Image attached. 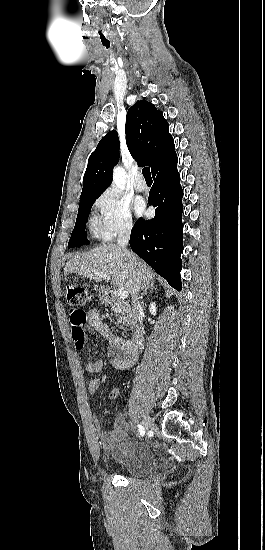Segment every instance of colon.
Here are the masks:
<instances>
[{"instance_id": "obj_1", "label": "colon", "mask_w": 265, "mask_h": 550, "mask_svg": "<svg viewBox=\"0 0 265 550\" xmlns=\"http://www.w3.org/2000/svg\"><path fill=\"white\" fill-rule=\"evenodd\" d=\"M67 303L71 307L69 317L74 338L80 337L86 323V314L83 307L91 299L88 289L81 284H68L66 287Z\"/></svg>"}]
</instances>
